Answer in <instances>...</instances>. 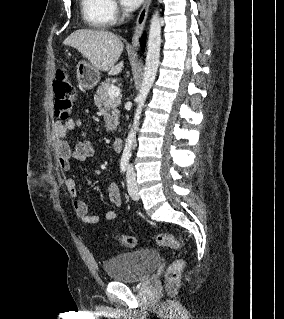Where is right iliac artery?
Wrapping results in <instances>:
<instances>
[{
	"mask_svg": "<svg viewBox=\"0 0 284 319\" xmlns=\"http://www.w3.org/2000/svg\"><path fill=\"white\" fill-rule=\"evenodd\" d=\"M127 167H128V160L127 159H122L121 162H120L121 172L124 173L126 171Z\"/></svg>",
	"mask_w": 284,
	"mask_h": 319,
	"instance_id": "right-iliac-artery-1",
	"label": "right iliac artery"
}]
</instances>
